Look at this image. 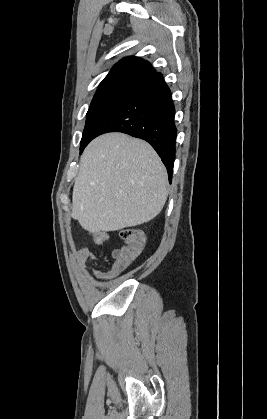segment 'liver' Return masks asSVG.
I'll return each mask as SVG.
<instances>
[{"instance_id":"liver-1","label":"liver","mask_w":267,"mask_h":419,"mask_svg":"<svg viewBox=\"0 0 267 419\" xmlns=\"http://www.w3.org/2000/svg\"><path fill=\"white\" fill-rule=\"evenodd\" d=\"M167 172L145 141L107 133L84 150L72 195L71 216L92 233L149 222L167 199Z\"/></svg>"}]
</instances>
